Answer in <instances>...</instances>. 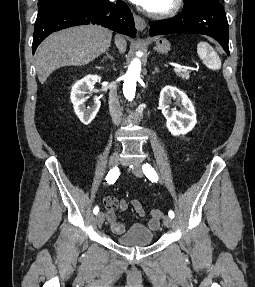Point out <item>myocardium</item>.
<instances>
[{
  "instance_id": "1",
  "label": "myocardium",
  "mask_w": 255,
  "mask_h": 287,
  "mask_svg": "<svg viewBox=\"0 0 255 287\" xmlns=\"http://www.w3.org/2000/svg\"><path fill=\"white\" fill-rule=\"evenodd\" d=\"M145 33H149V32H145ZM163 33H169V32H163ZM139 39H148V38H139ZM160 39H170V38H160ZM167 48H172V47H167Z\"/></svg>"
}]
</instances>
